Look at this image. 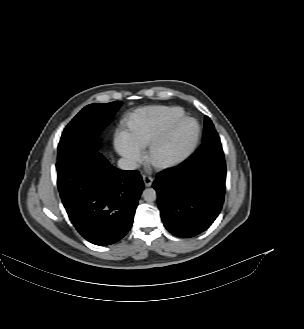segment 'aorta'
<instances>
[{
  "instance_id": "1",
  "label": "aorta",
  "mask_w": 304,
  "mask_h": 329,
  "mask_svg": "<svg viewBox=\"0 0 304 329\" xmlns=\"http://www.w3.org/2000/svg\"><path fill=\"white\" fill-rule=\"evenodd\" d=\"M142 196L145 201L153 202L157 198L156 191L153 188H147L143 191Z\"/></svg>"
}]
</instances>
